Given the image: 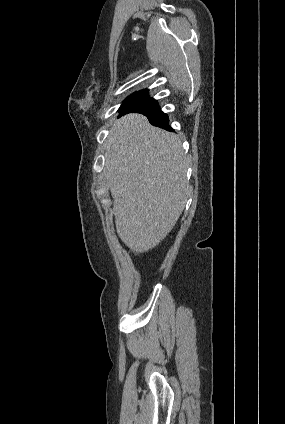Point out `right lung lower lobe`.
Masks as SVG:
<instances>
[{
	"label": "right lung lower lobe",
	"mask_w": 285,
	"mask_h": 424,
	"mask_svg": "<svg viewBox=\"0 0 285 424\" xmlns=\"http://www.w3.org/2000/svg\"><path fill=\"white\" fill-rule=\"evenodd\" d=\"M133 112L145 115L149 122L154 126H158L168 131H173V129L169 126L168 116L160 110L157 101L153 98L146 97L135 101L122 111L120 116Z\"/></svg>",
	"instance_id": "obj_1"
}]
</instances>
